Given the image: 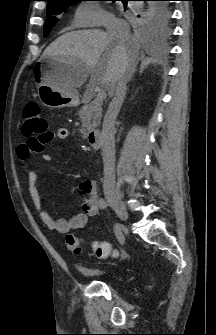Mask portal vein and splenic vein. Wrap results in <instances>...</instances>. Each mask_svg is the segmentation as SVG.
Wrapping results in <instances>:
<instances>
[{
    "label": "portal vein and splenic vein",
    "instance_id": "18ae733b",
    "mask_svg": "<svg viewBox=\"0 0 216 335\" xmlns=\"http://www.w3.org/2000/svg\"><path fill=\"white\" fill-rule=\"evenodd\" d=\"M106 98V91L101 90L97 93L96 100L97 101H103Z\"/></svg>",
    "mask_w": 216,
    "mask_h": 335
}]
</instances>
